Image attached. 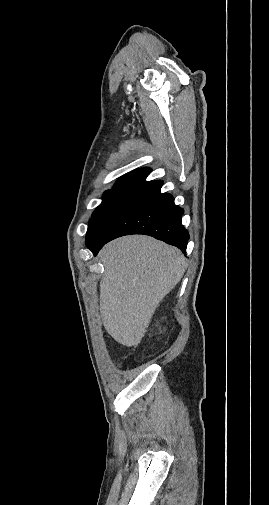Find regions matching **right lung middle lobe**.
I'll list each match as a JSON object with an SVG mask.
<instances>
[{
  "label": "right lung middle lobe",
  "instance_id": "right-lung-middle-lobe-1",
  "mask_svg": "<svg viewBox=\"0 0 269 505\" xmlns=\"http://www.w3.org/2000/svg\"><path fill=\"white\" fill-rule=\"evenodd\" d=\"M138 192L134 189L113 188L104 193L102 203L93 212L86 234L87 246L94 244L115 215Z\"/></svg>",
  "mask_w": 269,
  "mask_h": 505
}]
</instances>
